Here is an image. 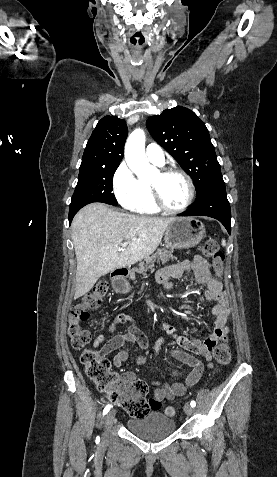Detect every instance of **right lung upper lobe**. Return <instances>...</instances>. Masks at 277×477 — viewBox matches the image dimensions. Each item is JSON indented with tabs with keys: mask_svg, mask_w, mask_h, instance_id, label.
Masks as SVG:
<instances>
[{
	"mask_svg": "<svg viewBox=\"0 0 277 477\" xmlns=\"http://www.w3.org/2000/svg\"><path fill=\"white\" fill-rule=\"evenodd\" d=\"M127 135L124 119L116 116L102 118L87 142L80 171L119 166Z\"/></svg>",
	"mask_w": 277,
	"mask_h": 477,
	"instance_id": "cb5924a9",
	"label": "right lung upper lobe"
}]
</instances>
